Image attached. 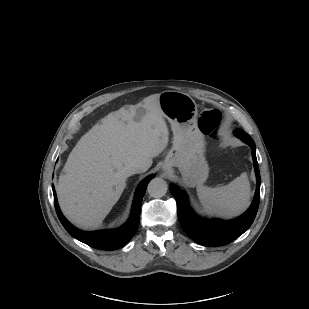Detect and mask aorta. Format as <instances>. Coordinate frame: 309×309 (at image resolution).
<instances>
[{"label":"aorta","mask_w":309,"mask_h":309,"mask_svg":"<svg viewBox=\"0 0 309 309\" xmlns=\"http://www.w3.org/2000/svg\"><path fill=\"white\" fill-rule=\"evenodd\" d=\"M167 188V183L164 179L154 178L149 182L147 191L151 197L161 198L166 194Z\"/></svg>","instance_id":"obj_1"}]
</instances>
